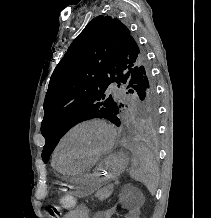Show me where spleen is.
<instances>
[{"instance_id":"spleen-1","label":"spleen","mask_w":211,"mask_h":218,"mask_svg":"<svg viewBox=\"0 0 211 218\" xmlns=\"http://www.w3.org/2000/svg\"><path fill=\"white\" fill-rule=\"evenodd\" d=\"M132 168L130 176L136 182H142L149 190L151 196H155L159 184V170L150 150L139 148L132 150Z\"/></svg>"}]
</instances>
